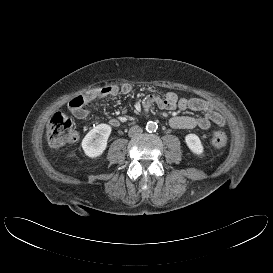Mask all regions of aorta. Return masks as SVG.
I'll return each mask as SVG.
<instances>
[{
    "instance_id": "1",
    "label": "aorta",
    "mask_w": 273,
    "mask_h": 273,
    "mask_svg": "<svg viewBox=\"0 0 273 273\" xmlns=\"http://www.w3.org/2000/svg\"><path fill=\"white\" fill-rule=\"evenodd\" d=\"M158 126H157V123L156 122H153V121H149L147 122L146 124V130L148 132H155L157 130Z\"/></svg>"
}]
</instances>
